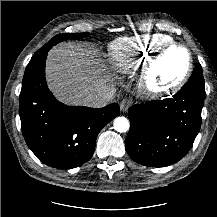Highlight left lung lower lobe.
<instances>
[{"mask_svg":"<svg viewBox=\"0 0 217 217\" xmlns=\"http://www.w3.org/2000/svg\"><path fill=\"white\" fill-rule=\"evenodd\" d=\"M204 99L205 89L189 81L171 98L133 105L125 140L131 159L153 167L182 159L200 130Z\"/></svg>","mask_w":217,"mask_h":217,"instance_id":"left-lung-lower-lobe-1","label":"left lung lower lobe"}]
</instances>
